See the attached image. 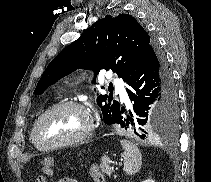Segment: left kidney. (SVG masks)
Wrapping results in <instances>:
<instances>
[{
    "instance_id": "5707ae66",
    "label": "left kidney",
    "mask_w": 211,
    "mask_h": 182,
    "mask_svg": "<svg viewBox=\"0 0 211 182\" xmlns=\"http://www.w3.org/2000/svg\"><path fill=\"white\" fill-rule=\"evenodd\" d=\"M143 182H155V181H153L152 179H146Z\"/></svg>"
}]
</instances>
